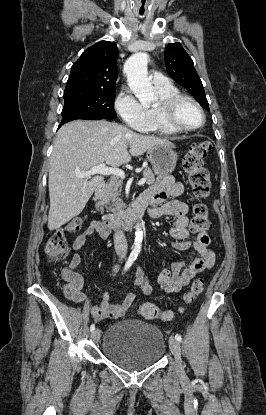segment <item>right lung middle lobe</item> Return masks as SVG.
Instances as JSON below:
<instances>
[{"label": "right lung middle lobe", "instance_id": "obj_1", "mask_svg": "<svg viewBox=\"0 0 266 415\" xmlns=\"http://www.w3.org/2000/svg\"><path fill=\"white\" fill-rule=\"evenodd\" d=\"M62 118L115 119V89H80L64 92Z\"/></svg>", "mask_w": 266, "mask_h": 415}]
</instances>
